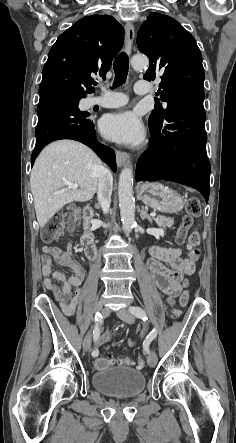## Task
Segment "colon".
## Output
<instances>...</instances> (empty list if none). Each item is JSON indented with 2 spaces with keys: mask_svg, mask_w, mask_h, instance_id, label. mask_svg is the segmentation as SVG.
<instances>
[{
  "mask_svg": "<svg viewBox=\"0 0 236 443\" xmlns=\"http://www.w3.org/2000/svg\"><path fill=\"white\" fill-rule=\"evenodd\" d=\"M201 205L199 199L192 197L189 198L186 204V214L182 219V223L177 232V241L180 243L187 242L189 250V258L196 262L200 259V234L197 231L189 233V229L194 223V219L200 215ZM70 217V224L74 226L76 223L75 211H62L55 214L41 229V239L44 242H52L60 235L66 218ZM181 315L178 309H174L171 312V317L174 319L179 318ZM115 359L108 356H99L93 360V366L96 369H106L114 365ZM119 363L125 366H131L133 361L130 357H122L119 359ZM146 367V361L144 358H140L138 361V368L143 369Z\"/></svg>",
  "mask_w": 236,
  "mask_h": 443,
  "instance_id": "5ec220e1",
  "label": "colon"
}]
</instances>
